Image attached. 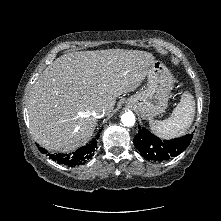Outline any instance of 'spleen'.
<instances>
[{"label":"spleen","instance_id":"1","mask_svg":"<svg viewBox=\"0 0 221 221\" xmlns=\"http://www.w3.org/2000/svg\"><path fill=\"white\" fill-rule=\"evenodd\" d=\"M195 101L189 92H184L181 100L171 116L165 120H150V128L154 134L171 139L185 134L194 120Z\"/></svg>","mask_w":221,"mask_h":221}]
</instances>
